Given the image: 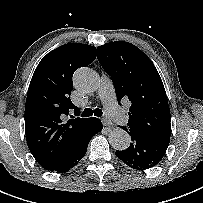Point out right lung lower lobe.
Listing matches in <instances>:
<instances>
[{"instance_id":"1","label":"right lung lower lobe","mask_w":203,"mask_h":203,"mask_svg":"<svg viewBox=\"0 0 203 203\" xmlns=\"http://www.w3.org/2000/svg\"><path fill=\"white\" fill-rule=\"evenodd\" d=\"M103 129V125L98 118H94L88 125L86 131L80 137L72 152L70 153L67 160L63 165L57 170L59 173L67 172L69 169L74 167L78 162L84 157L87 151V146L89 139L96 133Z\"/></svg>"}]
</instances>
